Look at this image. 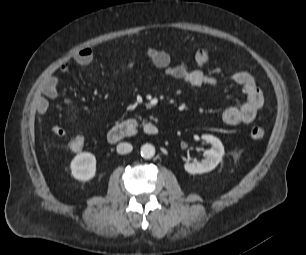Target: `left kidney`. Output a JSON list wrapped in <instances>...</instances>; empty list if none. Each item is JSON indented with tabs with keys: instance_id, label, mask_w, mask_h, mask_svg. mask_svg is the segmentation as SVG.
Returning a JSON list of instances; mask_svg holds the SVG:
<instances>
[{
	"instance_id": "5707ae66",
	"label": "left kidney",
	"mask_w": 306,
	"mask_h": 255,
	"mask_svg": "<svg viewBox=\"0 0 306 255\" xmlns=\"http://www.w3.org/2000/svg\"><path fill=\"white\" fill-rule=\"evenodd\" d=\"M201 138L210 143L211 148L204 152L205 159L202 161L194 160L192 163H185L184 169L190 174H202L215 169L224 155V146L220 139L208 134L202 135Z\"/></svg>"
}]
</instances>
